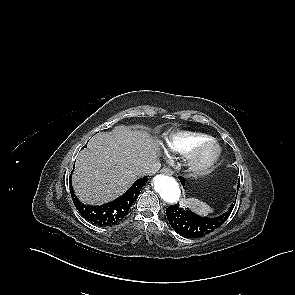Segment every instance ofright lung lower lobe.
<instances>
[{
  "label": "right lung lower lobe",
  "mask_w": 295,
  "mask_h": 295,
  "mask_svg": "<svg viewBox=\"0 0 295 295\" xmlns=\"http://www.w3.org/2000/svg\"><path fill=\"white\" fill-rule=\"evenodd\" d=\"M147 181L146 176L138 179L122 196L102 206L84 205L73 193L72 199L77 210L86 220L99 226H111L126 216ZM70 190H72L71 183Z\"/></svg>",
  "instance_id": "1"
}]
</instances>
